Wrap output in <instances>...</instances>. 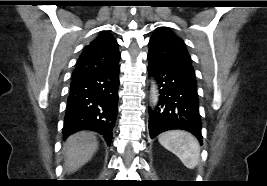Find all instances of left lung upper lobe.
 I'll return each instance as SVG.
<instances>
[{
    "label": "left lung upper lobe",
    "mask_w": 267,
    "mask_h": 186,
    "mask_svg": "<svg viewBox=\"0 0 267 186\" xmlns=\"http://www.w3.org/2000/svg\"><path fill=\"white\" fill-rule=\"evenodd\" d=\"M148 56L195 79L192 60L185 43L166 28H158L151 37Z\"/></svg>",
    "instance_id": "left-lung-upper-lobe-1"
}]
</instances>
